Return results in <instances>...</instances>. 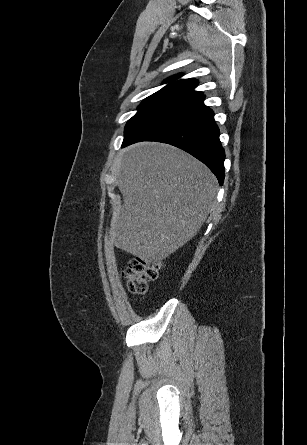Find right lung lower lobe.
I'll return each instance as SVG.
<instances>
[{
    "mask_svg": "<svg viewBox=\"0 0 307 445\" xmlns=\"http://www.w3.org/2000/svg\"><path fill=\"white\" fill-rule=\"evenodd\" d=\"M201 95L164 114L134 134L124 138L122 147L140 141L168 143L190 153L217 177L224 180L225 152L219 140V129L213 111L204 105Z\"/></svg>",
    "mask_w": 307,
    "mask_h": 445,
    "instance_id": "98d812e1",
    "label": "right lung lower lobe"
}]
</instances>
